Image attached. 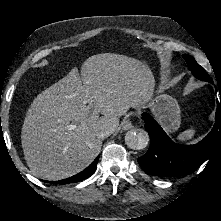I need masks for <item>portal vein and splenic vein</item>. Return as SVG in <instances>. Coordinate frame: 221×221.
Masks as SVG:
<instances>
[{
	"mask_svg": "<svg viewBox=\"0 0 221 221\" xmlns=\"http://www.w3.org/2000/svg\"><path fill=\"white\" fill-rule=\"evenodd\" d=\"M68 130H75L76 129V125L75 124H70L69 126H67Z\"/></svg>",
	"mask_w": 221,
	"mask_h": 221,
	"instance_id": "18ae733b",
	"label": "portal vein and splenic vein"
}]
</instances>
